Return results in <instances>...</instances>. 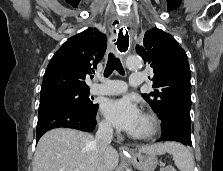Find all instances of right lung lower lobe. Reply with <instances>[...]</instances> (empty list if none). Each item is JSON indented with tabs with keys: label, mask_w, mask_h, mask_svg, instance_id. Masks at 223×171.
<instances>
[{
	"label": "right lung lower lobe",
	"mask_w": 223,
	"mask_h": 171,
	"mask_svg": "<svg viewBox=\"0 0 223 171\" xmlns=\"http://www.w3.org/2000/svg\"><path fill=\"white\" fill-rule=\"evenodd\" d=\"M96 113H87L81 109L69 106L49 108L39 113L36 142L53 128L66 127L91 132L96 126Z\"/></svg>",
	"instance_id": "98d812e1"
}]
</instances>
